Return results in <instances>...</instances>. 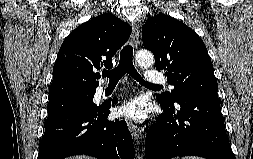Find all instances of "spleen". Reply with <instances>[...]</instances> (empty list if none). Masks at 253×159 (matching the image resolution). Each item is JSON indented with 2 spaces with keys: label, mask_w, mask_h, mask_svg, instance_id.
I'll list each match as a JSON object with an SVG mask.
<instances>
[{
  "label": "spleen",
  "mask_w": 253,
  "mask_h": 159,
  "mask_svg": "<svg viewBox=\"0 0 253 159\" xmlns=\"http://www.w3.org/2000/svg\"><path fill=\"white\" fill-rule=\"evenodd\" d=\"M182 159H203V158L197 157V156H187V157H183Z\"/></svg>",
  "instance_id": "3e777b00"
}]
</instances>
